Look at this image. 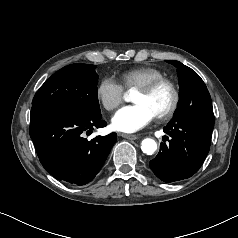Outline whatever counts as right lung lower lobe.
I'll return each instance as SVG.
<instances>
[{
    "label": "right lung lower lobe",
    "instance_id": "right-lung-lower-lobe-1",
    "mask_svg": "<svg viewBox=\"0 0 238 238\" xmlns=\"http://www.w3.org/2000/svg\"><path fill=\"white\" fill-rule=\"evenodd\" d=\"M30 137L43 167L56 179L84 185L93 180L103 166L117 134L85 135L107 123L99 114L62 108H32Z\"/></svg>",
    "mask_w": 238,
    "mask_h": 238
}]
</instances>
